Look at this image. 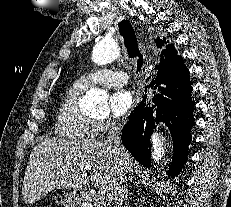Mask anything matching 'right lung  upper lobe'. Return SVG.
Here are the masks:
<instances>
[{
	"mask_svg": "<svg viewBox=\"0 0 231 207\" xmlns=\"http://www.w3.org/2000/svg\"><path fill=\"white\" fill-rule=\"evenodd\" d=\"M165 43H166L165 39L164 40L159 39V38L156 39L157 47L164 46ZM161 56L162 57H164V56H166V57H174V56H177V52H176L173 45H167L166 49L164 51H162Z\"/></svg>",
	"mask_w": 231,
	"mask_h": 207,
	"instance_id": "right-lung-upper-lobe-1",
	"label": "right lung upper lobe"
}]
</instances>
